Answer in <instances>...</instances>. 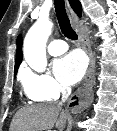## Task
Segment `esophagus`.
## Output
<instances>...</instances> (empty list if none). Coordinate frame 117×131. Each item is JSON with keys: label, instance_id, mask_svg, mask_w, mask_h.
<instances>
[{"label": "esophagus", "instance_id": "34e87169", "mask_svg": "<svg viewBox=\"0 0 117 131\" xmlns=\"http://www.w3.org/2000/svg\"><path fill=\"white\" fill-rule=\"evenodd\" d=\"M66 10L71 23L73 25H77L78 21L68 0H66ZM79 35L83 43V47L89 56L90 63L84 78L83 86L78 88L77 91L71 96V98L68 101V108L71 110L72 113H78L83 111L93 101V90L91 87V83L94 79L95 61L90 47L89 39L83 32H80Z\"/></svg>", "mask_w": 117, "mask_h": 131}]
</instances>
